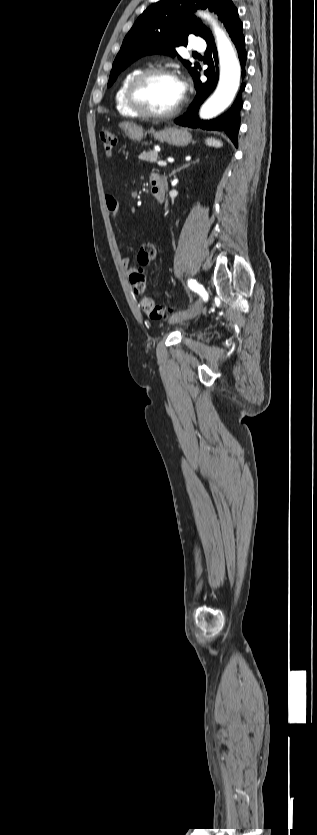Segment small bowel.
<instances>
[{
	"instance_id": "small-bowel-1",
	"label": "small bowel",
	"mask_w": 317,
	"mask_h": 835,
	"mask_svg": "<svg viewBox=\"0 0 317 835\" xmlns=\"http://www.w3.org/2000/svg\"><path fill=\"white\" fill-rule=\"evenodd\" d=\"M151 179L152 180L156 179V180L161 181L163 183V180L156 174H153ZM105 203H106V208H107V211H108L109 215L112 216V217H115L119 212V204H118L117 199L112 195H106ZM151 247H154V246L150 243H145L140 247L139 252H138V256H137V260L140 264L142 262H145L146 264H149L152 261V260L149 259V252H150ZM121 264L130 273L135 271V269L131 266V260L128 257H122L121 258Z\"/></svg>"
}]
</instances>
